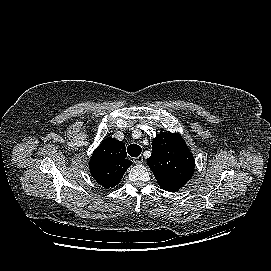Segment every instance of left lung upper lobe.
Returning a JSON list of instances; mask_svg holds the SVG:
<instances>
[{"label": "left lung upper lobe", "mask_w": 271, "mask_h": 271, "mask_svg": "<svg viewBox=\"0 0 271 271\" xmlns=\"http://www.w3.org/2000/svg\"><path fill=\"white\" fill-rule=\"evenodd\" d=\"M160 187L177 191L191 179L195 161L178 133L161 132L152 142V154L147 159Z\"/></svg>", "instance_id": "1"}]
</instances>
